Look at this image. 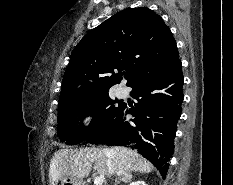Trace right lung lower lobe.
I'll list each match as a JSON object with an SVG mask.
<instances>
[{
	"label": "right lung lower lobe",
	"mask_w": 233,
	"mask_h": 185,
	"mask_svg": "<svg viewBox=\"0 0 233 185\" xmlns=\"http://www.w3.org/2000/svg\"><path fill=\"white\" fill-rule=\"evenodd\" d=\"M182 64L176 61L138 77L129 85L137 103H122L110 121L92 137L90 143L132 145L166 176L174 151L177 122L183 102ZM133 117L126 120L127 115Z\"/></svg>",
	"instance_id": "98d812e1"
}]
</instances>
